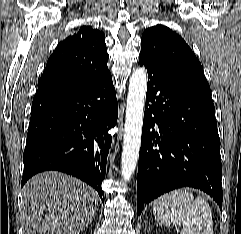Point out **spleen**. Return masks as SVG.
I'll return each mask as SVG.
<instances>
[{
	"label": "spleen",
	"mask_w": 241,
	"mask_h": 234,
	"mask_svg": "<svg viewBox=\"0 0 241 234\" xmlns=\"http://www.w3.org/2000/svg\"><path fill=\"white\" fill-rule=\"evenodd\" d=\"M155 219L170 227L181 225L183 234H213L212 212L207 201L187 188L170 191L154 201Z\"/></svg>",
	"instance_id": "1"
}]
</instances>
